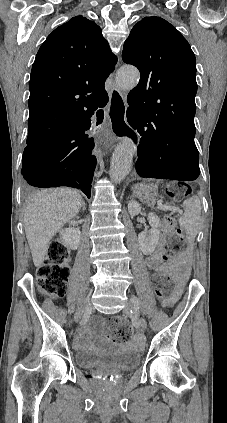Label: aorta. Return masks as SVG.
<instances>
[{
  "label": "aorta",
  "mask_w": 227,
  "mask_h": 423,
  "mask_svg": "<svg viewBox=\"0 0 227 423\" xmlns=\"http://www.w3.org/2000/svg\"><path fill=\"white\" fill-rule=\"evenodd\" d=\"M139 72L135 67L123 66L116 75V82L122 89H132L139 81ZM134 146L131 139L126 138L115 148L110 162V177L115 183L125 179L131 170Z\"/></svg>",
  "instance_id": "obj_1"
}]
</instances>
